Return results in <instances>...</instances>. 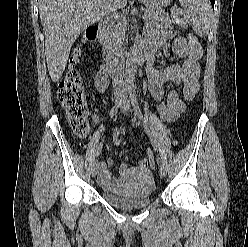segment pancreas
<instances>
[{
	"mask_svg": "<svg viewBox=\"0 0 248 247\" xmlns=\"http://www.w3.org/2000/svg\"><path fill=\"white\" fill-rule=\"evenodd\" d=\"M145 23L147 26L154 27L156 29L173 28V25H179L186 28L187 25L178 16H166L163 12H155L151 9L145 11L144 14ZM128 22L124 17L117 20L116 23H112L109 26L104 45L108 55L122 49L123 41L125 40V34L127 31Z\"/></svg>",
	"mask_w": 248,
	"mask_h": 247,
	"instance_id": "pancreas-1",
	"label": "pancreas"
}]
</instances>
